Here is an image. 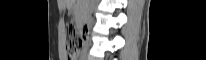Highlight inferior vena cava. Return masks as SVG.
<instances>
[{
  "label": "inferior vena cava",
  "mask_w": 206,
  "mask_h": 60,
  "mask_svg": "<svg viewBox=\"0 0 206 60\" xmlns=\"http://www.w3.org/2000/svg\"><path fill=\"white\" fill-rule=\"evenodd\" d=\"M87 21L91 22V13L90 12L87 13Z\"/></svg>",
  "instance_id": "obj_1"
}]
</instances>
